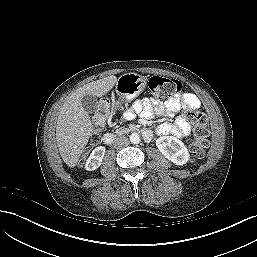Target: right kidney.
I'll use <instances>...</instances> for the list:
<instances>
[{"instance_id":"right-kidney-1","label":"right kidney","mask_w":257,"mask_h":257,"mask_svg":"<svg viewBox=\"0 0 257 257\" xmlns=\"http://www.w3.org/2000/svg\"><path fill=\"white\" fill-rule=\"evenodd\" d=\"M106 148L104 146L96 147L88 157L85 163V169L94 171L102 164Z\"/></svg>"}]
</instances>
